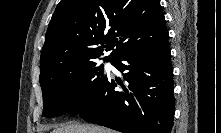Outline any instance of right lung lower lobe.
I'll list each match as a JSON object with an SVG mask.
<instances>
[{
    "mask_svg": "<svg viewBox=\"0 0 221 133\" xmlns=\"http://www.w3.org/2000/svg\"><path fill=\"white\" fill-rule=\"evenodd\" d=\"M168 39L117 57L112 64L126 72L127 88L121 83L123 91H115L117 84L109 77L77 115L123 133H171L175 101Z\"/></svg>",
    "mask_w": 221,
    "mask_h": 133,
    "instance_id": "obj_1",
    "label": "right lung lower lobe"
}]
</instances>
